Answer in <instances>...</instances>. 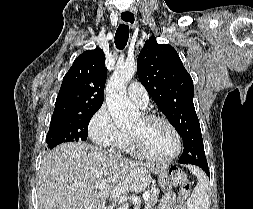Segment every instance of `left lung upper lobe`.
I'll use <instances>...</instances> for the list:
<instances>
[{
	"instance_id": "1",
	"label": "left lung upper lobe",
	"mask_w": 253,
	"mask_h": 209,
	"mask_svg": "<svg viewBox=\"0 0 253 209\" xmlns=\"http://www.w3.org/2000/svg\"><path fill=\"white\" fill-rule=\"evenodd\" d=\"M137 73L154 102L183 139L179 163L206 160L199 120L193 104V81L177 51L158 44L154 36L144 44L137 59Z\"/></svg>"
}]
</instances>
